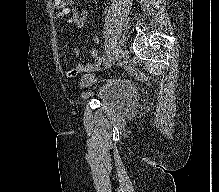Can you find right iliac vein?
I'll list each match as a JSON object with an SVG mask.
<instances>
[{"label": "right iliac vein", "mask_w": 219, "mask_h": 192, "mask_svg": "<svg viewBox=\"0 0 219 192\" xmlns=\"http://www.w3.org/2000/svg\"><path fill=\"white\" fill-rule=\"evenodd\" d=\"M121 57V50L120 48H116L114 51H113V54L111 57L108 58L106 64H105V69H109L111 68V66L114 65V63Z\"/></svg>", "instance_id": "1"}]
</instances>
